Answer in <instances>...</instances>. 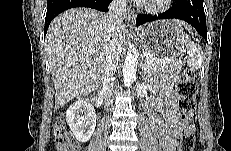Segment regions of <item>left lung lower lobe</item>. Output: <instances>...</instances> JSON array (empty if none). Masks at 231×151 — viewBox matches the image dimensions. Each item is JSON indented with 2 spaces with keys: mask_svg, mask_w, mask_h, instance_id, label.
<instances>
[{
  "mask_svg": "<svg viewBox=\"0 0 231 151\" xmlns=\"http://www.w3.org/2000/svg\"><path fill=\"white\" fill-rule=\"evenodd\" d=\"M181 19L191 24L197 32L207 41L206 17L203 0H180L179 5L171 7L160 15L139 14L136 25L159 19Z\"/></svg>",
  "mask_w": 231,
  "mask_h": 151,
  "instance_id": "obj_1",
  "label": "left lung lower lobe"
}]
</instances>
